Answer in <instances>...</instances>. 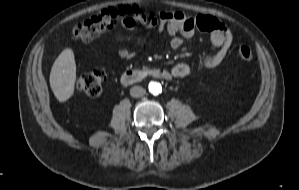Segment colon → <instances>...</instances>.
Returning a JSON list of instances; mask_svg holds the SVG:
<instances>
[{
    "label": "colon",
    "instance_id": "5ec220e1",
    "mask_svg": "<svg viewBox=\"0 0 299 190\" xmlns=\"http://www.w3.org/2000/svg\"><path fill=\"white\" fill-rule=\"evenodd\" d=\"M120 15H122V12L115 8L103 9L99 13L77 24L74 28V36L81 40L95 38L109 29L117 21ZM198 24L200 27H204L205 18H198ZM241 56L246 60L251 58L249 52H241ZM104 80L105 74L103 72L94 71L80 76L76 81V86L89 96H98L101 92Z\"/></svg>",
    "mask_w": 299,
    "mask_h": 190
}]
</instances>
